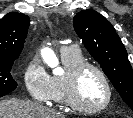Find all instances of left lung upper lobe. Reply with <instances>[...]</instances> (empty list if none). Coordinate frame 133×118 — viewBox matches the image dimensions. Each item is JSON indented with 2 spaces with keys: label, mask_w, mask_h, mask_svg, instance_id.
I'll use <instances>...</instances> for the list:
<instances>
[{
  "label": "left lung upper lobe",
  "mask_w": 133,
  "mask_h": 118,
  "mask_svg": "<svg viewBox=\"0 0 133 118\" xmlns=\"http://www.w3.org/2000/svg\"><path fill=\"white\" fill-rule=\"evenodd\" d=\"M73 26L88 52L100 64L122 99L133 109L132 67L114 27L91 9L78 12L74 16Z\"/></svg>",
  "instance_id": "obj_1"
}]
</instances>
